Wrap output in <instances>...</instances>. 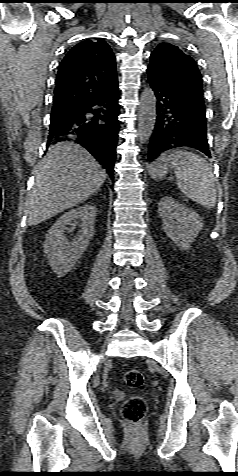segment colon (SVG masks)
Masks as SVG:
<instances>
[{
    "instance_id": "colon-1",
    "label": "colon",
    "mask_w": 238,
    "mask_h": 476,
    "mask_svg": "<svg viewBox=\"0 0 238 476\" xmlns=\"http://www.w3.org/2000/svg\"><path fill=\"white\" fill-rule=\"evenodd\" d=\"M123 380L130 388H139L144 384V375L138 369H129L124 373ZM146 413V403L143 398L139 396H132L128 398L122 407V414L124 419L133 424H139Z\"/></svg>"
}]
</instances>
